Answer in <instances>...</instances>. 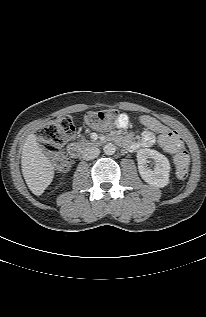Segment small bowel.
<instances>
[{
    "label": "small bowel",
    "mask_w": 206,
    "mask_h": 317,
    "mask_svg": "<svg viewBox=\"0 0 206 317\" xmlns=\"http://www.w3.org/2000/svg\"><path fill=\"white\" fill-rule=\"evenodd\" d=\"M129 117L123 113L119 116L116 126L120 129H125L129 125ZM139 122L147 128L141 135L139 140H134L132 135L119 138V141L131 151L139 148L150 147L155 143L156 134H158L159 142L168 133L173 132L165 124L149 115H141Z\"/></svg>",
    "instance_id": "small-bowel-1"
}]
</instances>
